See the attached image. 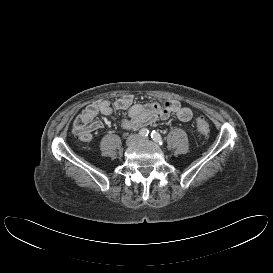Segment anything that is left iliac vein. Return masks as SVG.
Wrapping results in <instances>:
<instances>
[{"label": "left iliac vein", "instance_id": "4c4485c4", "mask_svg": "<svg viewBox=\"0 0 273 273\" xmlns=\"http://www.w3.org/2000/svg\"><path fill=\"white\" fill-rule=\"evenodd\" d=\"M139 140H140V141H147V140H148V138H146V137H142V138H140Z\"/></svg>", "mask_w": 273, "mask_h": 273}]
</instances>
